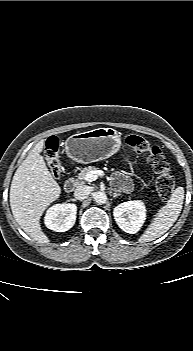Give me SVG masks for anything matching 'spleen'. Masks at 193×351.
<instances>
[{
  "label": "spleen",
  "mask_w": 193,
  "mask_h": 351,
  "mask_svg": "<svg viewBox=\"0 0 193 351\" xmlns=\"http://www.w3.org/2000/svg\"><path fill=\"white\" fill-rule=\"evenodd\" d=\"M183 200L184 188L177 187L172 192L167 204L160 208L154 220L140 236L139 242H150L166 233L179 217L182 210Z\"/></svg>",
  "instance_id": "1"
}]
</instances>
